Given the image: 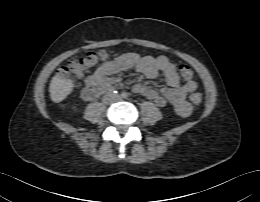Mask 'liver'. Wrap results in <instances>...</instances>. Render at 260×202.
I'll list each match as a JSON object with an SVG mask.
<instances>
[{
    "label": "liver",
    "instance_id": "6515ba94",
    "mask_svg": "<svg viewBox=\"0 0 260 202\" xmlns=\"http://www.w3.org/2000/svg\"><path fill=\"white\" fill-rule=\"evenodd\" d=\"M73 88L74 80L57 73L49 86L50 98L53 102L59 103L72 93Z\"/></svg>",
    "mask_w": 260,
    "mask_h": 202
}]
</instances>
